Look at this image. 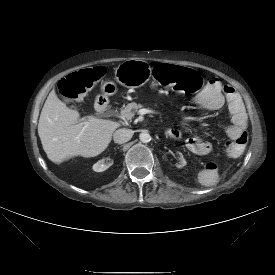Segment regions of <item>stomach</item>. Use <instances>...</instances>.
<instances>
[{
	"label": "stomach",
	"instance_id": "0dacf381",
	"mask_svg": "<svg viewBox=\"0 0 275 275\" xmlns=\"http://www.w3.org/2000/svg\"><path fill=\"white\" fill-rule=\"evenodd\" d=\"M116 81L127 88H138L144 85L151 77V67L143 60L129 59L120 63L114 71ZM103 95H113L116 86L108 81L101 85Z\"/></svg>",
	"mask_w": 275,
	"mask_h": 275
}]
</instances>
